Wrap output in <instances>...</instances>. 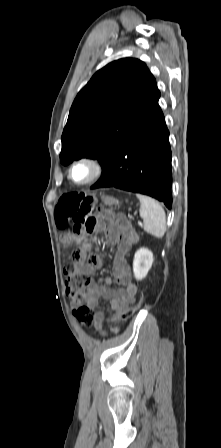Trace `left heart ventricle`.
<instances>
[{"mask_svg":"<svg viewBox=\"0 0 221 448\" xmlns=\"http://www.w3.org/2000/svg\"><path fill=\"white\" fill-rule=\"evenodd\" d=\"M92 174V170L86 165H78L72 171V177L76 181H84Z\"/></svg>","mask_w":221,"mask_h":448,"instance_id":"b2bd125f","label":"left heart ventricle"}]
</instances>
